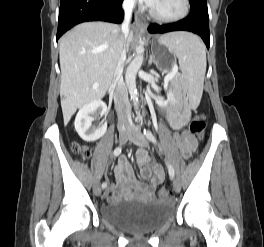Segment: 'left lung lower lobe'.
<instances>
[{"label": "left lung lower lobe", "mask_w": 264, "mask_h": 247, "mask_svg": "<svg viewBox=\"0 0 264 247\" xmlns=\"http://www.w3.org/2000/svg\"><path fill=\"white\" fill-rule=\"evenodd\" d=\"M191 11L187 18L172 24H151L150 33H167L171 31H189L198 34L210 46L209 16L207 2L190 1Z\"/></svg>", "instance_id": "obj_1"}]
</instances>
